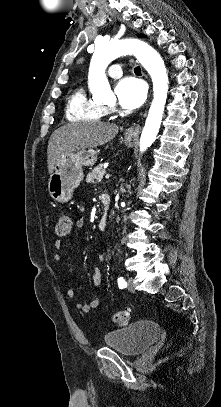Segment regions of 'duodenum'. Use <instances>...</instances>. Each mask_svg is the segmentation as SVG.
<instances>
[{"instance_id": "obj_1", "label": "duodenum", "mask_w": 221, "mask_h": 407, "mask_svg": "<svg viewBox=\"0 0 221 407\" xmlns=\"http://www.w3.org/2000/svg\"><path fill=\"white\" fill-rule=\"evenodd\" d=\"M110 196L108 194H105L102 197V204H103V213L98 221L97 228L99 231H104L107 225V219H108V210L110 206Z\"/></svg>"}]
</instances>
